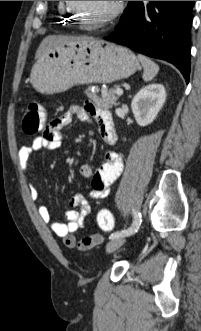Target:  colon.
<instances>
[{"mask_svg":"<svg viewBox=\"0 0 201 331\" xmlns=\"http://www.w3.org/2000/svg\"><path fill=\"white\" fill-rule=\"evenodd\" d=\"M46 112L43 107L36 103H30L23 117V130L28 135L37 134L46 128ZM97 224L105 231L113 228V216L107 209H101L97 214ZM101 235L95 234L83 237L78 242V247L81 249H89L102 242Z\"/></svg>","mask_w":201,"mask_h":331,"instance_id":"1","label":"colon"}]
</instances>
